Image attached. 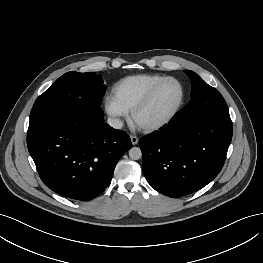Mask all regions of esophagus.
<instances>
[{
	"label": "esophagus",
	"instance_id": "34e87169",
	"mask_svg": "<svg viewBox=\"0 0 263 263\" xmlns=\"http://www.w3.org/2000/svg\"><path fill=\"white\" fill-rule=\"evenodd\" d=\"M130 139H131V143H132L133 145H136V144H138V142H139L138 137H136V136H134V135H131V136H130Z\"/></svg>",
	"mask_w": 263,
	"mask_h": 263
}]
</instances>
